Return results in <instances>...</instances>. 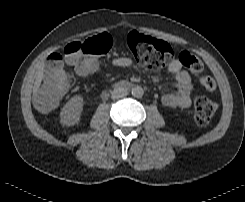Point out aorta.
<instances>
[{
    "mask_svg": "<svg viewBox=\"0 0 245 202\" xmlns=\"http://www.w3.org/2000/svg\"><path fill=\"white\" fill-rule=\"evenodd\" d=\"M132 95L137 98H141L144 94V90L141 86H135L131 91Z\"/></svg>",
    "mask_w": 245,
    "mask_h": 202,
    "instance_id": "aorta-1",
    "label": "aorta"
}]
</instances>
